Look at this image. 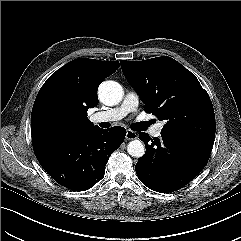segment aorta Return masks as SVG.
I'll use <instances>...</instances> for the list:
<instances>
[{
  "label": "aorta",
  "instance_id": "obj_1",
  "mask_svg": "<svg viewBox=\"0 0 241 241\" xmlns=\"http://www.w3.org/2000/svg\"><path fill=\"white\" fill-rule=\"evenodd\" d=\"M100 100L109 106L118 104L123 97L122 86L115 81H104L98 89ZM129 155L135 158H140L145 154V147L142 141L136 139L131 141L127 146Z\"/></svg>",
  "mask_w": 241,
  "mask_h": 241
}]
</instances>
